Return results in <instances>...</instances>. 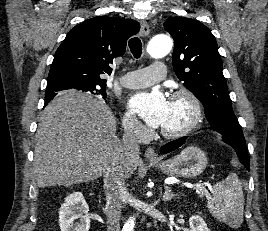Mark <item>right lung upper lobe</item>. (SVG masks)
I'll list each match as a JSON object with an SVG mask.
<instances>
[{"mask_svg":"<svg viewBox=\"0 0 268 231\" xmlns=\"http://www.w3.org/2000/svg\"><path fill=\"white\" fill-rule=\"evenodd\" d=\"M140 29L134 20L98 16L88 19L67 34L52 62L47 89L54 87H105L103 74H110L113 59L124 54L127 39ZM54 95L45 96V103Z\"/></svg>","mask_w":268,"mask_h":231,"instance_id":"cb5924a9","label":"right lung upper lobe"}]
</instances>
